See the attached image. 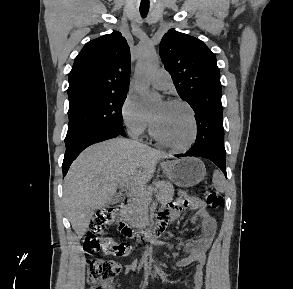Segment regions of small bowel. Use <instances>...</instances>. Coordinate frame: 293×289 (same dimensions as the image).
<instances>
[{
	"mask_svg": "<svg viewBox=\"0 0 293 289\" xmlns=\"http://www.w3.org/2000/svg\"><path fill=\"white\" fill-rule=\"evenodd\" d=\"M186 207L195 212L192 222L198 220L202 222V235L184 244L186 255L178 260L176 264L177 267L183 268L195 263L196 268L193 274L194 289H201L203 286V270L206 263V255L212 245L217 228L214 217L209 214L206 204L201 199L187 197L185 200H179L169 211L160 213V220L163 222H173L179 217L181 210ZM137 267L138 263L134 261L126 264L124 271L125 273H131Z\"/></svg>",
	"mask_w": 293,
	"mask_h": 289,
	"instance_id": "obj_1",
	"label": "small bowel"
}]
</instances>
